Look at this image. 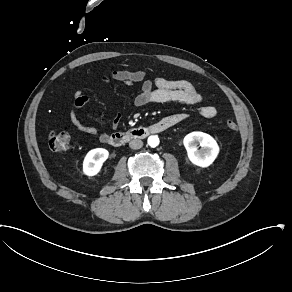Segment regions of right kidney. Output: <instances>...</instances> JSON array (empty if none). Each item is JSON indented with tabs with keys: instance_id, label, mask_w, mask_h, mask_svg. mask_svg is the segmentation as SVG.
<instances>
[{
	"instance_id": "obj_1",
	"label": "right kidney",
	"mask_w": 292,
	"mask_h": 292,
	"mask_svg": "<svg viewBox=\"0 0 292 292\" xmlns=\"http://www.w3.org/2000/svg\"><path fill=\"white\" fill-rule=\"evenodd\" d=\"M109 157V151L105 148L90 150L84 157L82 173L86 176H96L102 169L103 164Z\"/></svg>"
}]
</instances>
